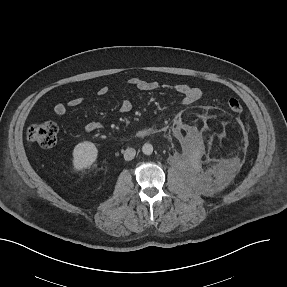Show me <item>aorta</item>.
Wrapping results in <instances>:
<instances>
[{"label": "aorta", "instance_id": "762f6f07", "mask_svg": "<svg viewBox=\"0 0 287 287\" xmlns=\"http://www.w3.org/2000/svg\"><path fill=\"white\" fill-rule=\"evenodd\" d=\"M142 152H143L145 155H150V154H152V152H153V146H152L150 143H145V144L142 146Z\"/></svg>", "mask_w": 287, "mask_h": 287}]
</instances>
